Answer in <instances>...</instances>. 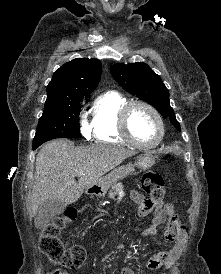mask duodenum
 Returning <instances> with one entry per match:
<instances>
[{"label":"duodenum","mask_w":221,"mask_h":274,"mask_svg":"<svg viewBox=\"0 0 221 274\" xmlns=\"http://www.w3.org/2000/svg\"><path fill=\"white\" fill-rule=\"evenodd\" d=\"M89 195H96L99 193V190L97 188H91L87 191Z\"/></svg>","instance_id":"1"}]
</instances>
